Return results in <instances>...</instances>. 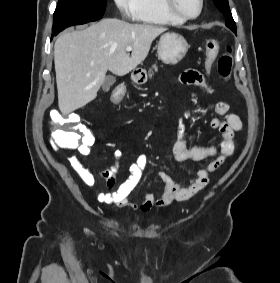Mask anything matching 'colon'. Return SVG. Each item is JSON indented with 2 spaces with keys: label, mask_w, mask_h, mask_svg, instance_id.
<instances>
[{
  "label": "colon",
  "mask_w": 280,
  "mask_h": 283,
  "mask_svg": "<svg viewBox=\"0 0 280 283\" xmlns=\"http://www.w3.org/2000/svg\"><path fill=\"white\" fill-rule=\"evenodd\" d=\"M219 51V43L215 39H209L204 48L205 61L210 66L216 59ZM232 47L228 46L224 54L218 59V72L223 78H228L232 69ZM205 75H212V70H205ZM126 88L123 86L114 87L111 100L117 103L124 96ZM201 92L205 91L204 87L200 88ZM51 139L53 145L59 149L72 150L79 146L81 141L80 132H89V127H68L63 126L69 119H80L79 110H55L51 112Z\"/></svg>",
  "instance_id": "1"
}]
</instances>
